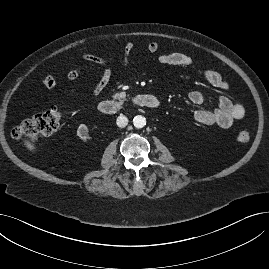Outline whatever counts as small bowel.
Wrapping results in <instances>:
<instances>
[{
  "label": "small bowel",
  "instance_id": "c3829d8e",
  "mask_svg": "<svg viewBox=\"0 0 269 269\" xmlns=\"http://www.w3.org/2000/svg\"><path fill=\"white\" fill-rule=\"evenodd\" d=\"M134 44L128 41L124 44L122 49V55L120 62L123 65H127L130 56L133 52ZM146 51L155 56L156 60L160 64L190 67L193 65L192 59L181 52L159 53V45L157 42H149L146 46ZM84 58L86 61L103 66L102 74L90 92V97H96L100 95L106 86L109 84L112 78V69L109 66L108 60L104 57L85 53ZM66 75L68 79L74 80L81 75V70L73 68L71 66L66 67ZM205 80L213 87L220 90H227L228 84L223 76L214 70H206L203 72ZM43 84L49 90H54L57 86L55 79L51 75H47L43 79ZM74 93V90H71ZM188 101L194 106H200L206 101V95L200 91H192L188 95ZM246 114V109L241 103L233 102L228 96H220L219 105L216 109H200L195 112L194 119L197 123L203 125H216L221 128L230 127L235 121L242 119Z\"/></svg>",
  "mask_w": 269,
  "mask_h": 269
}]
</instances>
